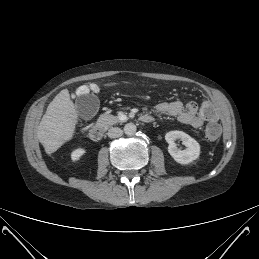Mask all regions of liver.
I'll return each mask as SVG.
<instances>
[{"label": "liver", "mask_w": 259, "mask_h": 259, "mask_svg": "<svg viewBox=\"0 0 259 259\" xmlns=\"http://www.w3.org/2000/svg\"><path fill=\"white\" fill-rule=\"evenodd\" d=\"M115 83L105 84L112 86ZM78 122V111L67 89H63L48 105L37 132L39 142L47 154L56 152L69 141Z\"/></svg>", "instance_id": "liver-1"}]
</instances>
